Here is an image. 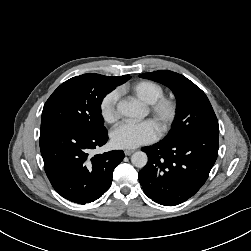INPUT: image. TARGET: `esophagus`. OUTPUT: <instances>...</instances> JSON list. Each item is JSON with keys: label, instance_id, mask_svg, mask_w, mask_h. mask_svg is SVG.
<instances>
[{"label": "esophagus", "instance_id": "obj_1", "mask_svg": "<svg viewBox=\"0 0 251 251\" xmlns=\"http://www.w3.org/2000/svg\"><path fill=\"white\" fill-rule=\"evenodd\" d=\"M134 152V150H130V149H126V150H124V153H125V155H131L132 153Z\"/></svg>", "mask_w": 251, "mask_h": 251}]
</instances>
